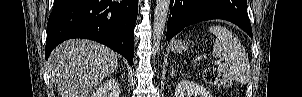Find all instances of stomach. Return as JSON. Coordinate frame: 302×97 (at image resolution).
I'll use <instances>...</instances> for the list:
<instances>
[{"label": "stomach", "mask_w": 302, "mask_h": 97, "mask_svg": "<svg viewBox=\"0 0 302 97\" xmlns=\"http://www.w3.org/2000/svg\"><path fill=\"white\" fill-rule=\"evenodd\" d=\"M189 48V42L183 40H176L172 45V50L178 53H183Z\"/></svg>", "instance_id": "obj_1"}]
</instances>
